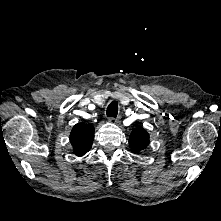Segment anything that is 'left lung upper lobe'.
Returning <instances> with one entry per match:
<instances>
[{"label":"left lung upper lobe","mask_w":221,"mask_h":221,"mask_svg":"<svg viewBox=\"0 0 221 221\" xmlns=\"http://www.w3.org/2000/svg\"><path fill=\"white\" fill-rule=\"evenodd\" d=\"M149 143V134L143 127L138 126L132 129L129 137V146L134 153L142 152Z\"/></svg>","instance_id":"5c2ea615"}]
</instances>
